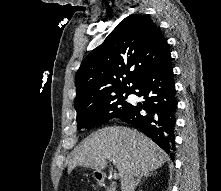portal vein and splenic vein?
Wrapping results in <instances>:
<instances>
[{
  "label": "portal vein and splenic vein",
  "mask_w": 221,
  "mask_h": 191,
  "mask_svg": "<svg viewBox=\"0 0 221 191\" xmlns=\"http://www.w3.org/2000/svg\"><path fill=\"white\" fill-rule=\"evenodd\" d=\"M108 160L109 161H112L113 162V164H115L116 162H115V160L113 159V158H111V157H108ZM115 178H117V174H115Z\"/></svg>",
  "instance_id": "obj_1"
}]
</instances>
